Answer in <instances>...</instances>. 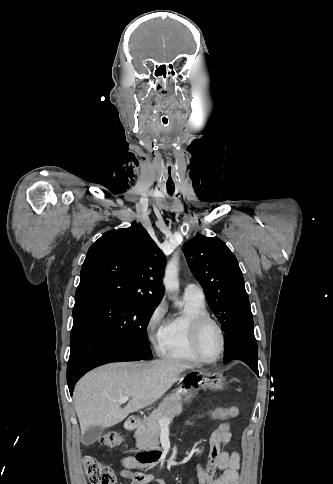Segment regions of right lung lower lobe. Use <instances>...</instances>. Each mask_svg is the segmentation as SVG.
<instances>
[{"label":"right lung lower lobe","instance_id":"right-lung-lower-lobe-1","mask_svg":"<svg viewBox=\"0 0 333 484\" xmlns=\"http://www.w3.org/2000/svg\"><path fill=\"white\" fill-rule=\"evenodd\" d=\"M135 360L139 356L113 335L85 318L74 320L67 367L70 394L79 378L92 368L114 361Z\"/></svg>","mask_w":333,"mask_h":484}]
</instances>
